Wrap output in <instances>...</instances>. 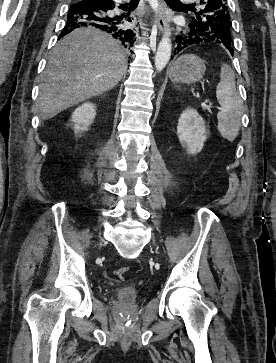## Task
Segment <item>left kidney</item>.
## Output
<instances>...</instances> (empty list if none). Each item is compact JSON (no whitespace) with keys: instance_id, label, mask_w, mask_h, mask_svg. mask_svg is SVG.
<instances>
[{"instance_id":"left-kidney-1","label":"left kidney","mask_w":276,"mask_h":363,"mask_svg":"<svg viewBox=\"0 0 276 363\" xmlns=\"http://www.w3.org/2000/svg\"><path fill=\"white\" fill-rule=\"evenodd\" d=\"M177 135L183 147L187 148L189 154L199 153L207 139L206 127L203 118L193 108H187L181 114Z\"/></svg>"}]
</instances>
